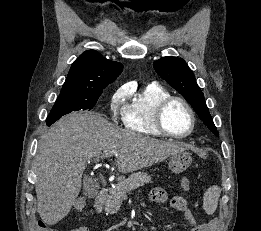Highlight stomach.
I'll return each mask as SVG.
<instances>
[{
	"instance_id": "0dacf381",
	"label": "stomach",
	"mask_w": 261,
	"mask_h": 231,
	"mask_svg": "<svg viewBox=\"0 0 261 231\" xmlns=\"http://www.w3.org/2000/svg\"><path fill=\"white\" fill-rule=\"evenodd\" d=\"M191 163V154L185 150L171 155L169 168L173 173L178 174L186 170Z\"/></svg>"
}]
</instances>
